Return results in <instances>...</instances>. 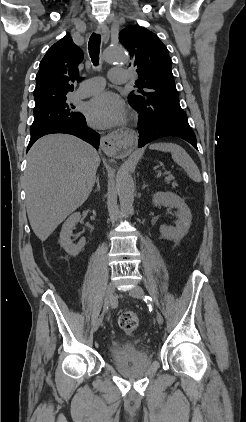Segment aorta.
I'll return each mask as SVG.
<instances>
[{"label":"aorta","mask_w":246,"mask_h":422,"mask_svg":"<svg viewBox=\"0 0 246 422\" xmlns=\"http://www.w3.org/2000/svg\"><path fill=\"white\" fill-rule=\"evenodd\" d=\"M103 58L107 63H125L127 61V55L121 46L107 47ZM116 186L121 207L124 209L130 208L134 201V181L126 166L119 169Z\"/></svg>","instance_id":"aorta-1"}]
</instances>
